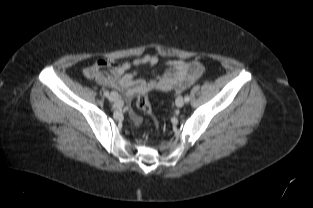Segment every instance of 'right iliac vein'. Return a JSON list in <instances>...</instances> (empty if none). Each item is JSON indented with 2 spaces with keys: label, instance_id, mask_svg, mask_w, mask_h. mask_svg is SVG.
Instances as JSON below:
<instances>
[{
  "label": "right iliac vein",
  "instance_id": "63e3f726",
  "mask_svg": "<svg viewBox=\"0 0 313 208\" xmlns=\"http://www.w3.org/2000/svg\"><path fill=\"white\" fill-rule=\"evenodd\" d=\"M109 100H110L111 102L117 103L118 100H119L118 94H117L116 92H114V91L111 92L110 95H109Z\"/></svg>",
  "mask_w": 313,
  "mask_h": 208
}]
</instances>
